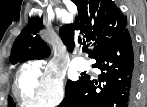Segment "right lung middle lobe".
Instances as JSON below:
<instances>
[{"instance_id": "right-lung-middle-lobe-1", "label": "right lung middle lobe", "mask_w": 147, "mask_h": 107, "mask_svg": "<svg viewBox=\"0 0 147 107\" xmlns=\"http://www.w3.org/2000/svg\"><path fill=\"white\" fill-rule=\"evenodd\" d=\"M77 84V81H71L68 80L67 84H66V90H65V95L67 93H69L70 91H72L75 87V85ZM9 106H13V100L11 97H9Z\"/></svg>"}]
</instances>
